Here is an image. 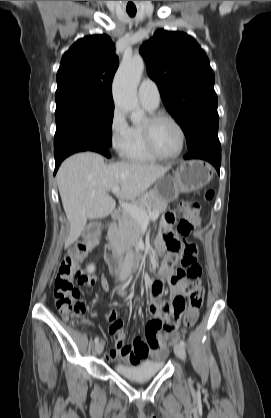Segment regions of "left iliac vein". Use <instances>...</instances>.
I'll list each match as a JSON object with an SVG mask.
<instances>
[{
    "instance_id": "obj_1",
    "label": "left iliac vein",
    "mask_w": 271,
    "mask_h": 418,
    "mask_svg": "<svg viewBox=\"0 0 271 418\" xmlns=\"http://www.w3.org/2000/svg\"><path fill=\"white\" fill-rule=\"evenodd\" d=\"M174 353L181 360H185L186 359L185 349H184V347L182 345L175 344L174 345Z\"/></svg>"
}]
</instances>
